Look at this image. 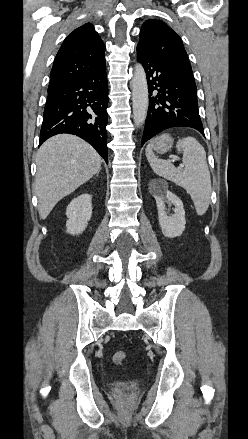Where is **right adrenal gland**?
Here are the masks:
<instances>
[{
  "label": "right adrenal gland",
  "mask_w": 248,
  "mask_h": 439,
  "mask_svg": "<svg viewBox=\"0 0 248 439\" xmlns=\"http://www.w3.org/2000/svg\"><path fill=\"white\" fill-rule=\"evenodd\" d=\"M98 175H99V172H97V175H96V176L98 177Z\"/></svg>",
  "instance_id": "1"
}]
</instances>
